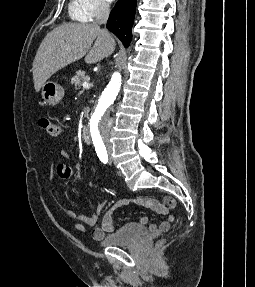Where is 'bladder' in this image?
Returning <instances> with one entry per match:
<instances>
[{"mask_svg": "<svg viewBox=\"0 0 255 287\" xmlns=\"http://www.w3.org/2000/svg\"><path fill=\"white\" fill-rule=\"evenodd\" d=\"M147 232L148 228L145 226L137 223H125L106 234L100 243L104 246L129 245L142 238Z\"/></svg>", "mask_w": 255, "mask_h": 287, "instance_id": "obj_1", "label": "bladder"}]
</instances>
